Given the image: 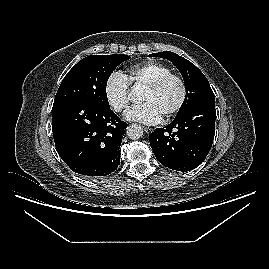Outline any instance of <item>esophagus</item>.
<instances>
[{"instance_id": "34e87169", "label": "esophagus", "mask_w": 269, "mask_h": 269, "mask_svg": "<svg viewBox=\"0 0 269 269\" xmlns=\"http://www.w3.org/2000/svg\"><path fill=\"white\" fill-rule=\"evenodd\" d=\"M143 128H144V131L148 134L153 132V128L151 127H143Z\"/></svg>"}]
</instances>
